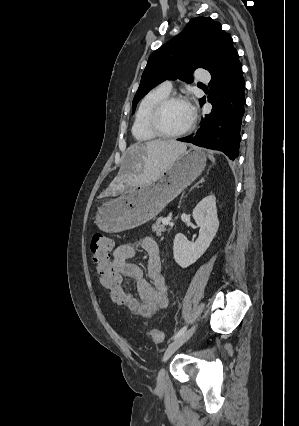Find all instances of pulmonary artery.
Here are the masks:
<instances>
[{
	"instance_id": "pulmonary-artery-1",
	"label": "pulmonary artery",
	"mask_w": 299,
	"mask_h": 426,
	"mask_svg": "<svg viewBox=\"0 0 299 426\" xmlns=\"http://www.w3.org/2000/svg\"><path fill=\"white\" fill-rule=\"evenodd\" d=\"M209 75L207 74V73H205V72H201V73H199V75L197 76V79L199 80V81H204V82H206V81H208L209 80ZM164 89H166V90H168V91H171V89H172V82L171 81H165V82H163L162 83V85H161Z\"/></svg>"
}]
</instances>
